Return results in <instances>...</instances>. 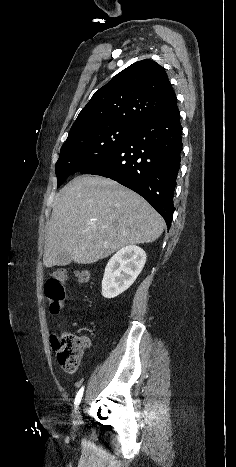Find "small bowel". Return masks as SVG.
Instances as JSON below:
<instances>
[{
  "instance_id": "1",
  "label": "small bowel",
  "mask_w": 236,
  "mask_h": 467,
  "mask_svg": "<svg viewBox=\"0 0 236 467\" xmlns=\"http://www.w3.org/2000/svg\"><path fill=\"white\" fill-rule=\"evenodd\" d=\"M86 347H87V348L89 347V343H88V340H87V344H86Z\"/></svg>"
}]
</instances>
